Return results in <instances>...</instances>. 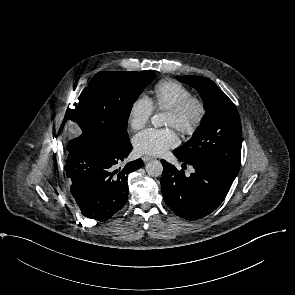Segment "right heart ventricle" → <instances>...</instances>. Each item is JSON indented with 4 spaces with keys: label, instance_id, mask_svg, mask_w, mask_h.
<instances>
[{
    "label": "right heart ventricle",
    "instance_id": "right-heart-ventricle-1",
    "mask_svg": "<svg viewBox=\"0 0 295 295\" xmlns=\"http://www.w3.org/2000/svg\"><path fill=\"white\" fill-rule=\"evenodd\" d=\"M153 93L151 102L158 110H169L192 96L191 90L186 85L171 79L156 83Z\"/></svg>",
    "mask_w": 295,
    "mask_h": 295
}]
</instances>
